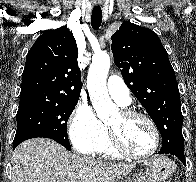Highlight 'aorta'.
<instances>
[{
  "instance_id": "aorta-1",
  "label": "aorta",
  "mask_w": 196,
  "mask_h": 182,
  "mask_svg": "<svg viewBox=\"0 0 196 182\" xmlns=\"http://www.w3.org/2000/svg\"><path fill=\"white\" fill-rule=\"evenodd\" d=\"M109 68V55L106 52L96 54L92 58L87 77V89L91 103L97 117L104 122L118 112L117 106L111 101L107 91L106 80Z\"/></svg>"
}]
</instances>
